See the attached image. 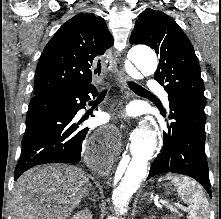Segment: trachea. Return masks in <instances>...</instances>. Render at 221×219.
I'll list each match as a JSON object with an SVG mask.
<instances>
[{"mask_svg": "<svg viewBox=\"0 0 221 219\" xmlns=\"http://www.w3.org/2000/svg\"><path fill=\"white\" fill-rule=\"evenodd\" d=\"M129 87L137 94H144V95H151L150 92L145 90L143 87L139 86L138 84H135L133 82L129 83Z\"/></svg>", "mask_w": 221, "mask_h": 219, "instance_id": "3493384b", "label": "trachea"}]
</instances>
